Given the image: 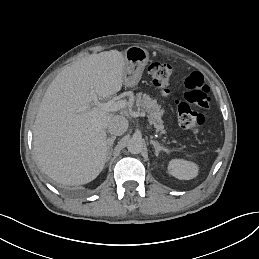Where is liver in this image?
I'll list each match as a JSON object with an SVG mask.
<instances>
[{"instance_id":"6515ba94","label":"liver","mask_w":259,"mask_h":259,"mask_svg":"<svg viewBox=\"0 0 259 259\" xmlns=\"http://www.w3.org/2000/svg\"><path fill=\"white\" fill-rule=\"evenodd\" d=\"M125 58L117 50L89 54L63 69L49 85L33 126V152L53 180L80 185L103 170L105 130L114 116L90 94L107 99L122 89ZM83 107L81 113H74ZM122 111L120 112V114Z\"/></svg>"}]
</instances>
